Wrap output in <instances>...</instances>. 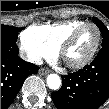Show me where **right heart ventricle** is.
I'll list each match as a JSON object with an SVG mask.
<instances>
[{
	"label": "right heart ventricle",
	"mask_w": 109,
	"mask_h": 109,
	"mask_svg": "<svg viewBox=\"0 0 109 109\" xmlns=\"http://www.w3.org/2000/svg\"><path fill=\"white\" fill-rule=\"evenodd\" d=\"M86 21L73 19L53 24L36 25L28 28L29 32H36L46 37L52 44L59 47L69 34L78 26L85 24Z\"/></svg>",
	"instance_id": "e07e8e85"
}]
</instances>
